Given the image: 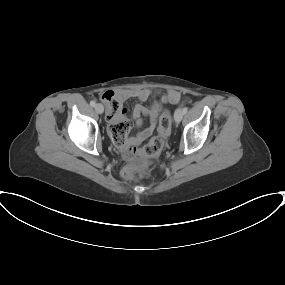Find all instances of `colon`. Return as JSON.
Wrapping results in <instances>:
<instances>
[{
	"label": "colon",
	"mask_w": 285,
	"mask_h": 285,
	"mask_svg": "<svg viewBox=\"0 0 285 285\" xmlns=\"http://www.w3.org/2000/svg\"><path fill=\"white\" fill-rule=\"evenodd\" d=\"M106 103L107 110L111 113H118L121 109V102L112 94L105 93L102 97ZM171 115L169 112L162 114L159 120L157 135L151 138L143 147H132L129 149V154L133 157H138L140 160L124 170V175L132 180H139L147 177L154 167L152 157L157 156L164 147L165 138L171 130ZM130 124L127 121H120L109 126L110 136L112 140L119 146L125 144Z\"/></svg>",
	"instance_id": "5ec220e1"
}]
</instances>
